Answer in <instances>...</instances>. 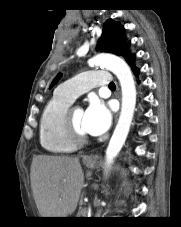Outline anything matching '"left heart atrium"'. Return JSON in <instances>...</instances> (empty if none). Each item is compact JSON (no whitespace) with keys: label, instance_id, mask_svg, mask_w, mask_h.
<instances>
[{"label":"left heart atrium","instance_id":"obj_1","mask_svg":"<svg viewBox=\"0 0 181 227\" xmlns=\"http://www.w3.org/2000/svg\"><path fill=\"white\" fill-rule=\"evenodd\" d=\"M111 124V112L100 100H92L83 116V129L86 133L97 136L104 133Z\"/></svg>","mask_w":181,"mask_h":227}]
</instances>
